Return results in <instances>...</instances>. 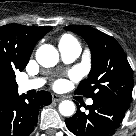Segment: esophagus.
Returning <instances> with one entry per match:
<instances>
[{"instance_id":"esophagus-1","label":"esophagus","mask_w":136,"mask_h":136,"mask_svg":"<svg viewBox=\"0 0 136 136\" xmlns=\"http://www.w3.org/2000/svg\"><path fill=\"white\" fill-rule=\"evenodd\" d=\"M64 98L62 97V96H59V95H57V94H52V100L54 101V102H60V101H62Z\"/></svg>"}]
</instances>
